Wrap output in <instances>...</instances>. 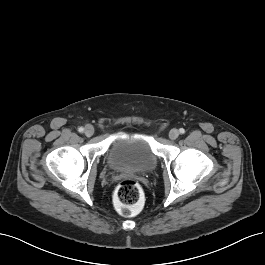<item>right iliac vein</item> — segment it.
<instances>
[{"label": "right iliac vein", "instance_id": "obj_1", "mask_svg": "<svg viewBox=\"0 0 265 265\" xmlns=\"http://www.w3.org/2000/svg\"><path fill=\"white\" fill-rule=\"evenodd\" d=\"M84 133L87 137H91L94 134V128L92 125H87L84 129Z\"/></svg>", "mask_w": 265, "mask_h": 265}]
</instances>
